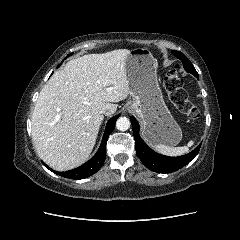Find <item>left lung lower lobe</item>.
I'll return each instance as SVG.
<instances>
[{"label": "left lung lower lobe", "instance_id": "obj_1", "mask_svg": "<svg viewBox=\"0 0 240 240\" xmlns=\"http://www.w3.org/2000/svg\"><path fill=\"white\" fill-rule=\"evenodd\" d=\"M198 78V74L195 76ZM131 124L133 126V134L135 138L136 152L142 163L150 170L157 173H169L176 171L188 164L199 152L200 146H197L189 154L179 157H168L160 155L151 150L139 136L140 126L137 120L131 116Z\"/></svg>", "mask_w": 240, "mask_h": 240}]
</instances>
